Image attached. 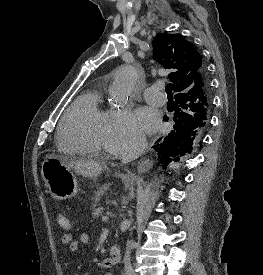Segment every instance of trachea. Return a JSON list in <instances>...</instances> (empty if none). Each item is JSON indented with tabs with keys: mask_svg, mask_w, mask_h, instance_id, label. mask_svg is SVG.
<instances>
[{
	"mask_svg": "<svg viewBox=\"0 0 263 275\" xmlns=\"http://www.w3.org/2000/svg\"><path fill=\"white\" fill-rule=\"evenodd\" d=\"M172 89H173V85L171 83L166 85V93L168 95V97H172Z\"/></svg>",
	"mask_w": 263,
	"mask_h": 275,
	"instance_id": "3493384b",
	"label": "trachea"
}]
</instances>
